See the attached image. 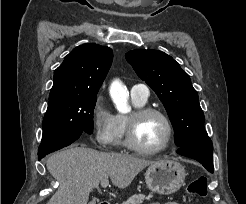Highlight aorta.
<instances>
[{
	"label": "aorta",
	"mask_w": 246,
	"mask_h": 204,
	"mask_svg": "<svg viewBox=\"0 0 246 204\" xmlns=\"http://www.w3.org/2000/svg\"><path fill=\"white\" fill-rule=\"evenodd\" d=\"M110 94L119 112L129 113L131 111V107L128 105L129 93L121 82H113L110 89Z\"/></svg>",
	"instance_id": "aorta-1"
}]
</instances>
